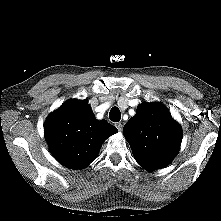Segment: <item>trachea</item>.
Instances as JSON below:
<instances>
[{"label": "trachea", "instance_id": "obj_1", "mask_svg": "<svg viewBox=\"0 0 221 221\" xmlns=\"http://www.w3.org/2000/svg\"><path fill=\"white\" fill-rule=\"evenodd\" d=\"M109 118H110V120L113 121V122H119L120 119H121L120 110H119L117 107H113V108L110 110Z\"/></svg>", "mask_w": 221, "mask_h": 221}]
</instances>
